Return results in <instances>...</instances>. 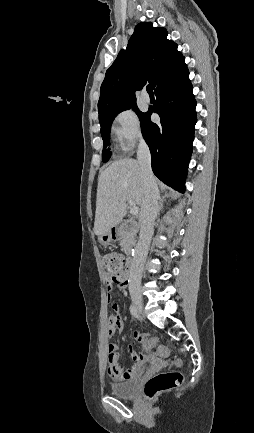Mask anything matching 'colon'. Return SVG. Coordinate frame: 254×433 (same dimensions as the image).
Wrapping results in <instances>:
<instances>
[{
  "label": "colon",
  "mask_w": 254,
  "mask_h": 433,
  "mask_svg": "<svg viewBox=\"0 0 254 433\" xmlns=\"http://www.w3.org/2000/svg\"><path fill=\"white\" fill-rule=\"evenodd\" d=\"M106 270L107 283H118L127 280L126 261L122 255L109 252L102 256ZM182 382V376L177 371H165L151 377L144 386V395L147 399H154L163 392L178 387Z\"/></svg>",
  "instance_id": "obj_1"
}]
</instances>
